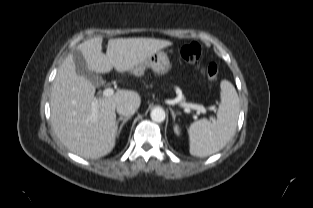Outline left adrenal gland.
Listing matches in <instances>:
<instances>
[{
  "label": "left adrenal gland",
  "instance_id": "obj_1",
  "mask_svg": "<svg viewBox=\"0 0 313 208\" xmlns=\"http://www.w3.org/2000/svg\"><path fill=\"white\" fill-rule=\"evenodd\" d=\"M170 111H171V114H172V118H173V120L175 121L176 115H179L180 112H176V113H175L172 108H170Z\"/></svg>",
  "mask_w": 313,
  "mask_h": 208
}]
</instances>
